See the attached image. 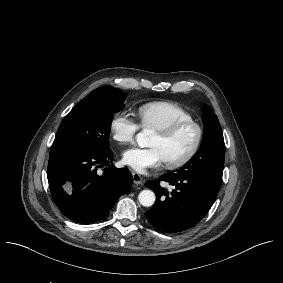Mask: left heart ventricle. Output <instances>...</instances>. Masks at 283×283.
I'll use <instances>...</instances> for the list:
<instances>
[{
    "label": "left heart ventricle",
    "instance_id": "b2bd125f",
    "mask_svg": "<svg viewBox=\"0 0 283 283\" xmlns=\"http://www.w3.org/2000/svg\"><path fill=\"white\" fill-rule=\"evenodd\" d=\"M195 139V128L189 125L181 129L170 140H163L156 135L150 146L161 150L164 162H175L182 159L190 151Z\"/></svg>",
    "mask_w": 283,
    "mask_h": 283
}]
</instances>
